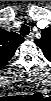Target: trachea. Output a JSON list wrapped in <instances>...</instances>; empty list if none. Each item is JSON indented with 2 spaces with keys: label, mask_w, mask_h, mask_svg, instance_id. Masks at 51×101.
<instances>
[{
  "label": "trachea",
  "mask_w": 51,
  "mask_h": 101,
  "mask_svg": "<svg viewBox=\"0 0 51 101\" xmlns=\"http://www.w3.org/2000/svg\"><path fill=\"white\" fill-rule=\"evenodd\" d=\"M29 33H30V28H29V26L23 25V26L20 28V34H21L22 36H27Z\"/></svg>",
  "instance_id": "trachea-1"
}]
</instances>
